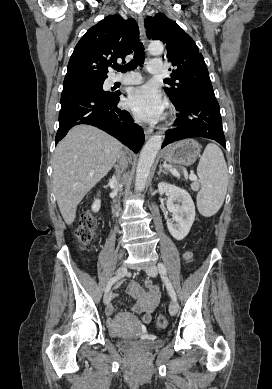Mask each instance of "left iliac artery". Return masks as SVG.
Here are the masks:
<instances>
[{"instance_id": "obj_1", "label": "left iliac artery", "mask_w": 272, "mask_h": 389, "mask_svg": "<svg viewBox=\"0 0 272 389\" xmlns=\"http://www.w3.org/2000/svg\"><path fill=\"white\" fill-rule=\"evenodd\" d=\"M158 269H159V273H160L162 279L164 280V282H165V284H166L167 290H168V292H169L171 298H172L173 300H176V293H175V291H174V289H173V287H172L171 282H170L169 279L167 278V271H166L165 265L162 264V263H159V264H158Z\"/></svg>"}]
</instances>
